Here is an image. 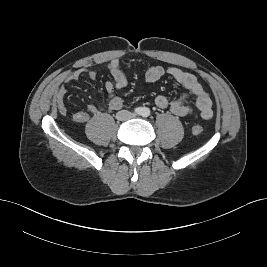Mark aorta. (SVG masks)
Segmentation results:
<instances>
[{"label":"aorta","instance_id":"obj_1","mask_svg":"<svg viewBox=\"0 0 267 267\" xmlns=\"http://www.w3.org/2000/svg\"><path fill=\"white\" fill-rule=\"evenodd\" d=\"M144 111L146 112V115L150 114V110L148 108H145Z\"/></svg>","mask_w":267,"mask_h":267}]
</instances>
